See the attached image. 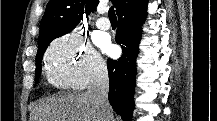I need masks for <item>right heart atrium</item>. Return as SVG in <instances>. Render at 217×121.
I'll return each mask as SVG.
<instances>
[{
    "label": "right heart atrium",
    "mask_w": 217,
    "mask_h": 121,
    "mask_svg": "<svg viewBox=\"0 0 217 121\" xmlns=\"http://www.w3.org/2000/svg\"><path fill=\"white\" fill-rule=\"evenodd\" d=\"M48 81L60 89H83L107 76L101 55L78 33L55 39L44 57Z\"/></svg>",
    "instance_id": "right-heart-atrium-1"
}]
</instances>
